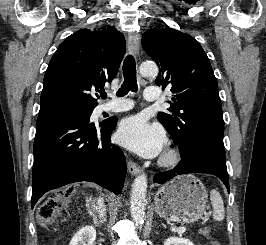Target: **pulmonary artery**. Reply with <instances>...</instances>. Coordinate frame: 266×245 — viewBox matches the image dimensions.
<instances>
[{
  "mask_svg": "<svg viewBox=\"0 0 266 245\" xmlns=\"http://www.w3.org/2000/svg\"><path fill=\"white\" fill-rule=\"evenodd\" d=\"M145 101H160L161 97L157 96V91L154 86L145 87ZM132 108L130 101H115V104H104L102 105V110L106 112H123Z\"/></svg>",
  "mask_w": 266,
  "mask_h": 245,
  "instance_id": "pulmonary-artery-1",
  "label": "pulmonary artery"
}]
</instances>
